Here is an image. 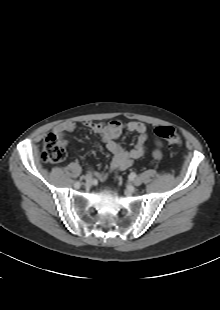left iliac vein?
<instances>
[{
  "mask_svg": "<svg viewBox=\"0 0 220 310\" xmlns=\"http://www.w3.org/2000/svg\"><path fill=\"white\" fill-rule=\"evenodd\" d=\"M141 183H142V181H141V179L138 178V177L132 180V184H133L134 186H140Z\"/></svg>",
  "mask_w": 220,
  "mask_h": 310,
  "instance_id": "obj_1",
  "label": "left iliac vein"
}]
</instances>
